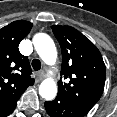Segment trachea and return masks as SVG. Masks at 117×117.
Returning <instances> with one entry per match:
<instances>
[{
    "mask_svg": "<svg viewBox=\"0 0 117 117\" xmlns=\"http://www.w3.org/2000/svg\"><path fill=\"white\" fill-rule=\"evenodd\" d=\"M32 67L35 71H38L41 69V62L39 59H33L32 61Z\"/></svg>",
    "mask_w": 117,
    "mask_h": 117,
    "instance_id": "obj_1",
    "label": "trachea"
}]
</instances>
